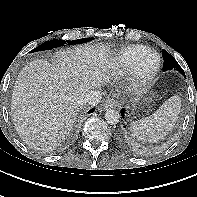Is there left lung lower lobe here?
<instances>
[{"label": "left lung lower lobe", "mask_w": 197, "mask_h": 197, "mask_svg": "<svg viewBox=\"0 0 197 197\" xmlns=\"http://www.w3.org/2000/svg\"><path fill=\"white\" fill-rule=\"evenodd\" d=\"M121 114H122V117L124 118L125 109L121 110ZM127 135H128V126L126 124H123V127L121 128V130L119 132L120 140L123 142H127ZM139 149H141V148L139 147Z\"/></svg>", "instance_id": "obj_1"}]
</instances>
